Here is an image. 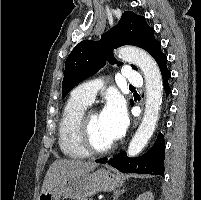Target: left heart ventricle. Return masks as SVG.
I'll use <instances>...</instances> for the list:
<instances>
[{
	"label": "left heart ventricle",
	"mask_w": 201,
	"mask_h": 200,
	"mask_svg": "<svg viewBox=\"0 0 201 200\" xmlns=\"http://www.w3.org/2000/svg\"><path fill=\"white\" fill-rule=\"evenodd\" d=\"M89 140L97 148H102L113 143L99 113L92 115L89 119Z\"/></svg>",
	"instance_id": "left-heart-ventricle-1"
}]
</instances>
